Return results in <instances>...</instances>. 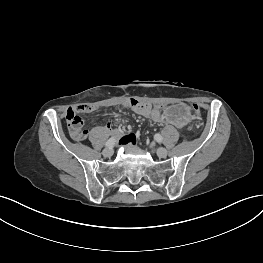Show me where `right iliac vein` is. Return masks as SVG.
Listing matches in <instances>:
<instances>
[{
    "mask_svg": "<svg viewBox=\"0 0 263 263\" xmlns=\"http://www.w3.org/2000/svg\"><path fill=\"white\" fill-rule=\"evenodd\" d=\"M104 157H111L113 155V149L112 148H106L102 152Z\"/></svg>",
    "mask_w": 263,
    "mask_h": 263,
    "instance_id": "obj_1",
    "label": "right iliac vein"
}]
</instances>
